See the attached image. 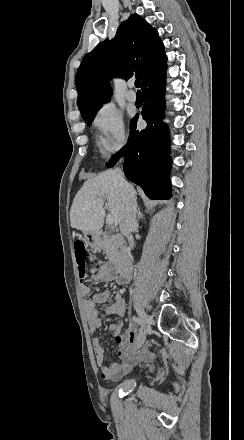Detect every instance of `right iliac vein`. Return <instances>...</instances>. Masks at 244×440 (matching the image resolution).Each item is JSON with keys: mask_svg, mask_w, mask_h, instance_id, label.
Instances as JSON below:
<instances>
[{"mask_svg": "<svg viewBox=\"0 0 244 440\" xmlns=\"http://www.w3.org/2000/svg\"><path fill=\"white\" fill-rule=\"evenodd\" d=\"M137 312L143 323L139 330L138 336L134 342L135 347L139 348L143 345V343L146 340V332H147L146 325L151 323V319L140 306L137 307Z\"/></svg>", "mask_w": 244, "mask_h": 440, "instance_id": "right-iliac-vein-1", "label": "right iliac vein"}]
</instances>
